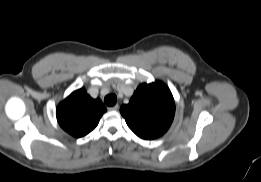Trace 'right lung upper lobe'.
<instances>
[{
  "instance_id": "obj_1",
  "label": "right lung upper lobe",
  "mask_w": 261,
  "mask_h": 182,
  "mask_svg": "<svg viewBox=\"0 0 261 182\" xmlns=\"http://www.w3.org/2000/svg\"><path fill=\"white\" fill-rule=\"evenodd\" d=\"M106 108L100 99L91 98L81 88L71 93L56 110L59 125L72 136L79 138L91 132Z\"/></svg>"
}]
</instances>
